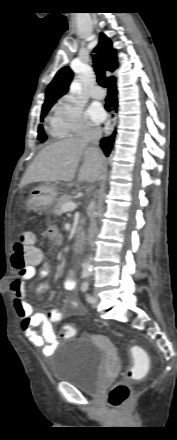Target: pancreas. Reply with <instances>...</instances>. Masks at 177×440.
Masks as SVG:
<instances>
[{
    "instance_id": "pancreas-1",
    "label": "pancreas",
    "mask_w": 177,
    "mask_h": 440,
    "mask_svg": "<svg viewBox=\"0 0 177 440\" xmlns=\"http://www.w3.org/2000/svg\"><path fill=\"white\" fill-rule=\"evenodd\" d=\"M69 202H71V196H69V195H63L62 197H60L58 200H57V202H56V204H55V206H54V208H53V213L55 214V215H60L61 213H62V211H61V208H62V206L64 205V204H66V203H69ZM81 228L79 227V229L78 230H80Z\"/></svg>"
}]
</instances>
